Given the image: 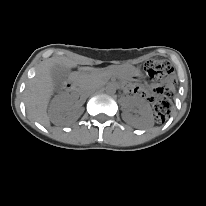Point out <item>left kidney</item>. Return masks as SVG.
I'll list each match as a JSON object with an SVG mask.
<instances>
[{
  "label": "left kidney",
  "mask_w": 206,
  "mask_h": 206,
  "mask_svg": "<svg viewBox=\"0 0 206 206\" xmlns=\"http://www.w3.org/2000/svg\"><path fill=\"white\" fill-rule=\"evenodd\" d=\"M127 106L129 108L136 107L138 109L139 116L133 117L130 113L125 112L123 114V118L126 122L131 123L138 128H149L153 126L151 108L145 99L131 97L127 100Z\"/></svg>",
  "instance_id": "1"
}]
</instances>
